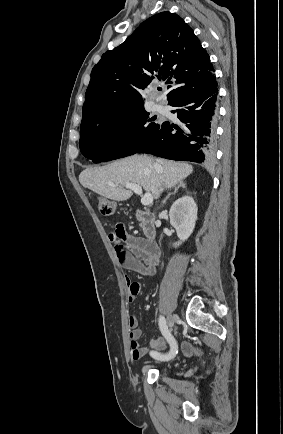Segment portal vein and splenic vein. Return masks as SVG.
Segmentation results:
<instances>
[{"instance_id":"1","label":"portal vein and splenic vein","mask_w":283,"mask_h":434,"mask_svg":"<svg viewBox=\"0 0 283 434\" xmlns=\"http://www.w3.org/2000/svg\"><path fill=\"white\" fill-rule=\"evenodd\" d=\"M125 188L134 191L138 195L142 194V188L138 184L129 183V184L125 185ZM141 203L144 206H148V205L152 204L153 203V196L150 193L144 194L141 198Z\"/></svg>"}]
</instances>
